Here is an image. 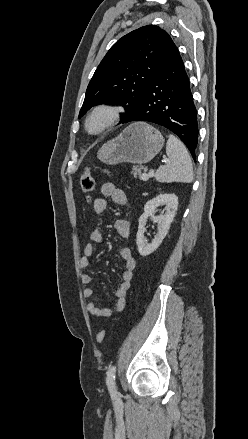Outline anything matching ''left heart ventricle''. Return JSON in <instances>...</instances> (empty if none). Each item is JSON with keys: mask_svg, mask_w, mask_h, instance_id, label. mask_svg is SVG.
I'll use <instances>...</instances> for the list:
<instances>
[{"mask_svg": "<svg viewBox=\"0 0 248 439\" xmlns=\"http://www.w3.org/2000/svg\"><path fill=\"white\" fill-rule=\"evenodd\" d=\"M101 124V120L100 119H95L94 121L91 122V128L92 129H97Z\"/></svg>", "mask_w": 248, "mask_h": 439, "instance_id": "1", "label": "left heart ventricle"}]
</instances>
